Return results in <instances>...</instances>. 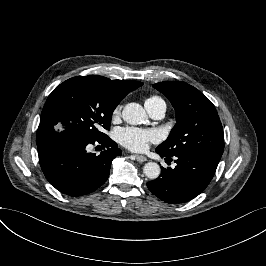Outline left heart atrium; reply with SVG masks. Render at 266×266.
Instances as JSON below:
<instances>
[{"label":"left heart atrium","instance_id":"1","mask_svg":"<svg viewBox=\"0 0 266 266\" xmlns=\"http://www.w3.org/2000/svg\"><path fill=\"white\" fill-rule=\"evenodd\" d=\"M116 138L127 149L142 152L147 150L151 143L159 140V133L152 129L122 127L117 130Z\"/></svg>","mask_w":266,"mask_h":266}]
</instances>
